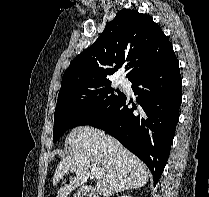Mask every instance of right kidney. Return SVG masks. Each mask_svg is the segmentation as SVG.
<instances>
[{"label":"right kidney","instance_id":"1","mask_svg":"<svg viewBox=\"0 0 209 197\" xmlns=\"http://www.w3.org/2000/svg\"><path fill=\"white\" fill-rule=\"evenodd\" d=\"M120 197H132V196H130V195H123V196H120Z\"/></svg>","mask_w":209,"mask_h":197}]
</instances>
